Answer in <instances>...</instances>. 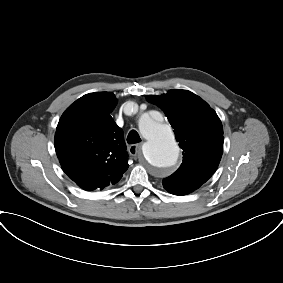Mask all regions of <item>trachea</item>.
Listing matches in <instances>:
<instances>
[{
  "label": "trachea",
  "instance_id": "1",
  "mask_svg": "<svg viewBox=\"0 0 283 283\" xmlns=\"http://www.w3.org/2000/svg\"><path fill=\"white\" fill-rule=\"evenodd\" d=\"M127 142L129 144H134V143H138L141 142V138L139 136V134L137 133V131L135 130H131L127 136Z\"/></svg>",
  "mask_w": 283,
  "mask_h": 283
}]
</instances>
